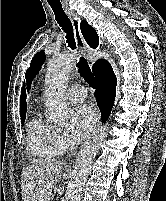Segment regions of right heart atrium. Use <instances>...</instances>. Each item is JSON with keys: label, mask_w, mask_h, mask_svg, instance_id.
Wrapping results in <instances>:
<instances>
[{"label": "right heart atrium", "mask_w": 166, "mask_h": 201, "mask_svg": "<svg viewBox=\"0 0 166 201\" xmlns=\"http://www.w3.org/2000/svg\"><path fill=\"white\" fill-rule=\"evenodd\" d=\"M57 142L62 151L66 150L70 145L67 134L62 130L57 131Z\"/></svg>", "instance_id": "obj_1"}]
</instances>
